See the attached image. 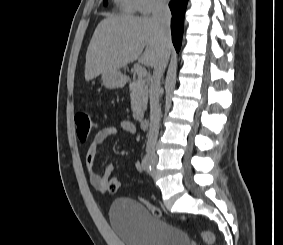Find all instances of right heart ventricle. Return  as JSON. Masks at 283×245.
<instances>
[{"mask_svg": "<svg viewBox=\"0 0 283 245\" xmlns=\"http://www.w3.org/2000/svg\"><path fill=\"white\" fill-rule=\"evenodd\" d=\"M117 8L128 14H132L136 11L135 4L133 0H114Z\"/></svg>", "mask_w": 283, "mask_h": 245, "instance_id": "e07e8e85", "label": "right heart ventricle"}]
</instances>
